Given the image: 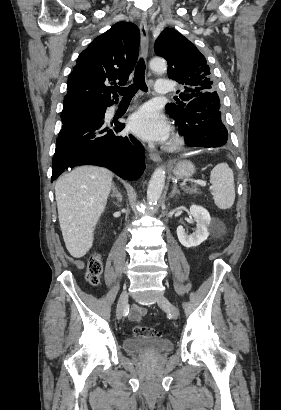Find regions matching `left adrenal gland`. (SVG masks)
I'll return each mask as SVG.
<instances>
[{
    "mask_svg": "<svg viewBox=\"0 0 281 410\" xmlns=\"http://www.w3.org/2000/svg\"><path fill=\"white\" fill-rule=\"evenodd\" d=\"M176 194H180V191L178 190L177 185L174 184L173 187H172V191L170 192L169 196L173 197Z\"/></svg>",
    "mask_w": 281,
    "mask_h": 410,
    "instance_id": "a2214340",
    "label": "left adrenal gland"
}]
</instances>
